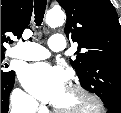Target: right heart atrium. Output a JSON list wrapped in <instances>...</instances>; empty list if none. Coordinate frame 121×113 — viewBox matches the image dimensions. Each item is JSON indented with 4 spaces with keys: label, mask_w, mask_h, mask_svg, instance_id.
Segmentation results:
<instances>
[{
    "label": "right heart atrium",
    "mask_w": 121,
    "mask_h": 113,
    "mask_svg": "<svg viewBox=\"0 0 121 113\" xmlns=\"http://www.w3.org/2000/svg\"><path fill=\"white\" fill-rule=\"evenodd\" d=\"M12 98L15 109L31 112L38 108L37 102L20 89L13 92Z\"/></svg>",
    "instance_id": "d8ad5b80"
}]
</instances>
